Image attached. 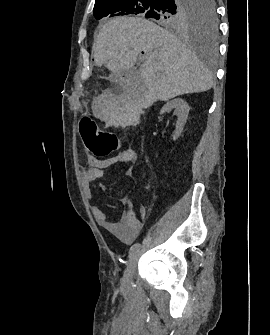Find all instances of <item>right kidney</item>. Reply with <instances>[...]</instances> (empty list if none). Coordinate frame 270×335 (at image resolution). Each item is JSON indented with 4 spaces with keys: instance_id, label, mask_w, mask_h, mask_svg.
I'll return each instance as SVG.
<instances>
[{
    "instance_id": "obj_1",
    "label": "right kidney",
    "mask_w": 270,
    "mask_h": 335,
    "mask_svg": "<svg viewBox=\"0 0 270 335\" xmlns=\"http://www.w3.org/2000/svg\"><path fill=\"white\" fill-rule=\"evenodd\" d=\"M175 108V114L178 116L175 134H173V140H177L179 136H181L183 132V128L186 124V120L189 114V106L187 102H184L182 98H175V100H170L167 102L165 106H163L162 110H160V114H165V112H170Z\"/></svg>"
}]
</instances>
